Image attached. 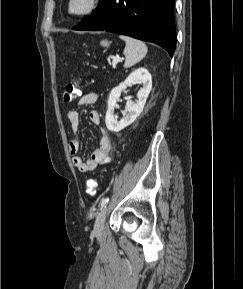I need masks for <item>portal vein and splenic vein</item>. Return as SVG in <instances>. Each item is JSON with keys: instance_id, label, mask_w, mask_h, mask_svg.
<instances>
[{"instance_id": "obj_1", "label": "portal vein and splenic vein", "mask_w": 243, "mask_h": 289, "mask_svg": "<svg viewBox=\"0 0 243 289\" xmlns=\"http://www.w3.org/2000/svg\"><path fill=\"white\" fill-rule=\"evenodd\" d=\"M120 61H121L120 58H114L113 61H112V65L115 66Z\"/></svg>"}]
</instances>
